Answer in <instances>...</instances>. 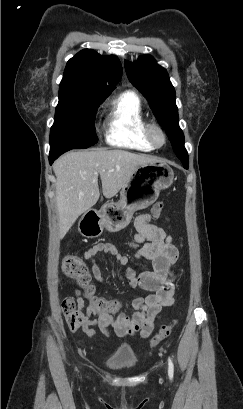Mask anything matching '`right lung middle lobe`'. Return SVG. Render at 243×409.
Listing matches in <instances>:
<instances>
[{
  "mask_svg": "<svg viewBox=\"0 0 243 409\" xmlns=\"http://www.w3.org/2000/svg\"><path fill=\"white\" fill-rule=\"evenodd\" d=\"M104 100L59 95L50 131V151L84 149L96 144L95 114Z\"/></svg>",
  "mask_w": 243,
  "mask_h": 409,
  "instance_id": "1",
  "label": "right lung middle lobe"
}]
</instances>
